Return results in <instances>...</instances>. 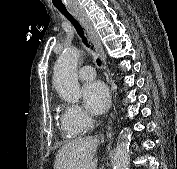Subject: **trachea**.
I'll return each instance as SVG.
<instances>
[{
  "instance_id": "3493384b",
  "label": "trachea",
  "mask_w": 177,
  "mask_h": 169,
  "mask_svg": "<svg viewBox=\"0 0 177 169\" xmlns=\"http://www.w3.org/2000/svg\"><path fill=\"white\" fill-rule=\"evenodd\" d=\"M57 9L74 25L77 33L79 34V36L82 38V41L84 42V44L90 48L91 50H94V46H92L90 44V42H88V39L86 38V36L84 35V31L81 27V25L79 24V22L67 11L66 7H57ZM96 63L98 66L101 65V60L99 58L96 59Z\"/></svg>"
}]
</instances>
